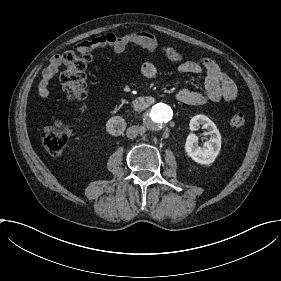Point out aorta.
<instances>
[{
	"mask_svg": "<svg viewBox=\"0 0 281 281\" xmlns=\"http://www.w3.org/2000/svg\"><path fill=\"white\" fill-rule=\"evenodd\" d=\"M173 117L171 107L164 103L155 104L149 112V128L152 130H159L162 125L168 123Z\"/></svg>",
	"mask_w": 281,
	"mask_h": 281,
	"instance_id": "1",
	"label": "aorta"
}]
</instances>
